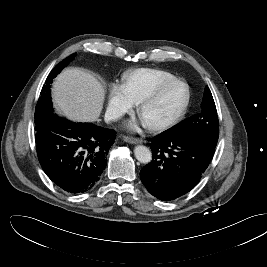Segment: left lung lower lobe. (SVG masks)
<instances>
[{
	"label": "left lung lower lobe",
	"mask_w": 267,
	"mask_h": 267,
	"mask_svg": "<svg viewBox=\"0 0 267 267\" xmlns=\"http://www.w3.org/2000/svg\"><path fill=\"white\" fill-rule=\"evenodd\" d=\"M152 161L140 171L147 190L163 201L174 200L199 182L209 166L215 147L197 135L162 133L150 143Z\"/></svg>",
	"instance_id": "1"
}]
</instances>
